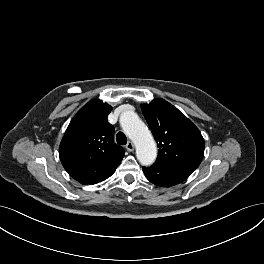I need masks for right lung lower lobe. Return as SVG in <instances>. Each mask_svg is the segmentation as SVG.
I'll return each mask as SVG.
<instances>
[{
	"instance_id": "98d812e1",
	"label": "right lung lower lobe",
	"mask_w": 264,
	"mask_h": 264,
	"mask_svg": "<svg viewBox=\"0 0 264 264\" xmlns=\"http://www.w3.org/2000/svg\"><path fill=\"white\" fill-rule=\"evenodd\" d=\"M116 170V169H115ZM114 170V171H115ZM114 171H112L110 174H108L105 178H103V179H101L100 181H103V180H105L106 178H108L109 176H111L113 173H114ZM97 183V182H96Z\"/></svg>"
}]
</instances>
